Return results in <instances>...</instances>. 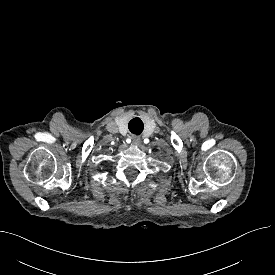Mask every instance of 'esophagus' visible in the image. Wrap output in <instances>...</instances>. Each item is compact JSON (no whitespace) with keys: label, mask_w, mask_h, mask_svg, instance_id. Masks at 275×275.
I'll list each match as a JSON object with an SVG mask.
<instances>
[{"label":"esophagus","mask_w":275,"mask_h":275,"mask_svg":"<svg viewBox=\"0 0 275 275\" xmlns=\"http://www.w3.org/2000/svg\"><path fill=\"white\" fill-rule=\"evenodd\" d=\"M140 138L139 137H136V136H133L132 137V144L133 145H135V146H137V145H139L140 144Z\"/></svg>","instance_id":"1"}]
</instances>
